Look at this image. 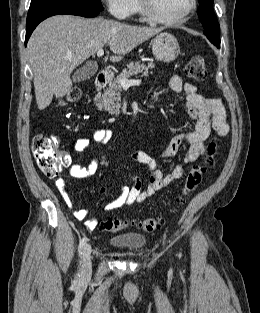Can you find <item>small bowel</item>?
I'll return each mask as SVG.
<instances>
[{
    "label": "small bowel",
    "mask_w": 260,
    "mask_h": 313,
    "mask_svg": "<svg viewBox=\"0 0 260 313\" xmlns=\"http://www.w3.org/2000/svg\"><path fill=\"white\" fill-rule=\"evenodd\" d=\"M169 87L175 93H183L185 107L193 123V130L174 137L163 149L161 156L165 158L172 157L184 146L187 148V151L183 158V164L175 165L168 174H164L158 169L155 159L147 152L141 150L133 151L130 154V158L148 169L150 173L149 182L143 188L141 180L136 176H131V184L124 186L120 195L107 204L106 208L108 210L143 202L157 191L182 178L185 173L184 164L192 163L204 156L206 149L205 140L209 137L211 131H214L219 137H225L229 132V126L226 122V110L220 99L208 98L198 94L195 85L184 83L177 75L170 78ZM111 137L112 131L110 129L94 126L93 138L99 146H105ZM88 143L87 137H79L74 143V155L67 156L66 167L68 174L74 179L87 178L93 176L98 171L99 160L97 157L91 159L87 165H80L74 162L78 154L87 148ZM55 185L64 203L71 209L74 218L83 221L88 229H95L98 225L97 220L87 218V210L77 209L73 206L64 181L58 179ZM100 192L103 193L104 190Z\"/></svg>",
    "instance_id": "obj_1"
}]
</instances>
